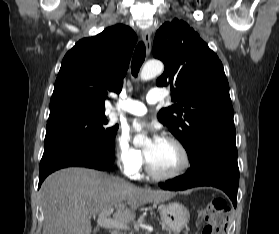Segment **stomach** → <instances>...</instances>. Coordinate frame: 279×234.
I'll return each mask as SVG.
<instances>
[{
  "mask_svg": "<svg viewBox=\"0 0 279 234\" xmlns=\"http://www.w3.org/2000/svg\"><path fill=\"white\" fill-rule=\"evenodd\" d=\"M159 212L163 223L175 234L180 232L190 220L187 208L176 202L159 206Z\"/></svg>",
  "mask_w": 279,
  "mask_h": 234,
  "instance_id": "0dacf381",
  "label": "stomach"
}]
</instances>
